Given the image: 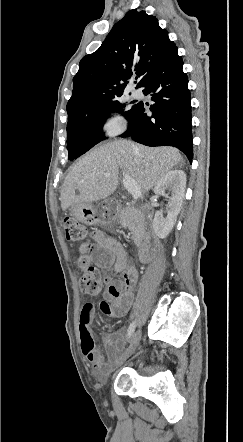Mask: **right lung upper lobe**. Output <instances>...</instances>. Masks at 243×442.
Segmentation results:
<instances>
[{
	"mask_svg": "<svg viewBox=\"0 0 243 442\" xmlns=\"http://www.w3.org/2000/svg\"><path fill=\"white\" fill-rule=\"evenodd\" d=\"M177 47L155 16L133 9L118 21L97 51L86 55L73 78L68 119L89 111L123 91L133 72L137 88Z\"/></svg>",
	"mask_w": 243,
	"mask_h": 442,
	"instance_id": "right-lung-upper-lobe-1",
	"label": "right lung upper lobe"
}]
</instances>
